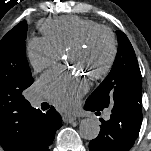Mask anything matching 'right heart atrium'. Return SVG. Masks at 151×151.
I'll use <instances>...</instances> for the list:
<instances>
[{
    "label": "right heart atrium",
    "instance_id": "right-heart-atrium-1",
    "mask_svg": "<svg viewBox=\"0 0 151 151\" xmlns=\"http://www.w3.org/2000/svg\"><path fill=\"white\" fill-rule=\"evenodd\" d=\"M27 59L35 71L54 65L62 52L45 37H32L26 46Z\"/></svg>",
    "mask_w": 151,
    "mask_h": 151
}]
</instances>
